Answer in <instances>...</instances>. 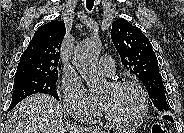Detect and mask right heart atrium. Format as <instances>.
Returning <instances> with one entry per match:
<instances>
[{"mask_svg":"<svg viewBox=\"0 0 184 133\" xmlns=\"http://www.w3.org/2000/svg\"><path fill=\"white\" fill-rule=\"evenodd\" d=\"M62 90L64 107L71 117L81 121H91L97 117V103L78 79L65 80Z\"/></svg>","mask_w":184,"mask_h":133,"instance_id":"obj_1","label":"right heart atrium"}]
</instances>
